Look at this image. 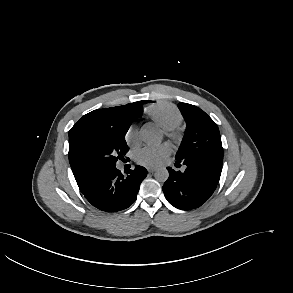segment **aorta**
<instances>
[{
	"label": "aorta",
	"mask_w": 293,
	"mask_h": 293,
	"mask_svg": "<svg viewBox=\"0 0 293 293\" xmlns=\"http://www.w3.org/2000/svg\"><path fill=\"white\" fill-rule=\"evenodd\" d=\"M141 139L150 145L159 144L162 140L161 133L153 127H144L140 131ZM154 177L159 182H165L169 177V172L166 168H159L155 171Z\"/></svg>",
	"instance_id": "aorta-1"
}]
</instances>
